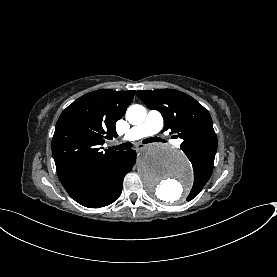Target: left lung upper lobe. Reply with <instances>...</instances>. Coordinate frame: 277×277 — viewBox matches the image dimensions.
<instances>
[{
    "label": "left lung upper lobe",
    "instance_id": "5c2ea615",
    "mask_svg": "<svg viewBox=\"0 0 277 277\" xmlns=\"http://www.w3.org/2000/svg\"><path fill=\"white\" fill-rule=\"evenodd\" d=\"M137 96L148 108L162 113L165 130L170 129L183 139L181 149L194 170V184L187 198L192 200L210 178L217 150L209 112L191 96L173 89L137 91Z\"/></svg>",
    "mask_w": 277,
    "mask_h": 277
}]
</instances>
